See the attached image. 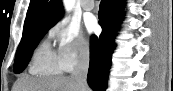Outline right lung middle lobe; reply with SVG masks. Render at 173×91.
<instances>
[{
    "label": "right lung middle lobe",
    "mask_w": 173,
    "mask_h": 91,
    "mask_svg": "<svg viewBox=\"0 0 173 91\" xmlns=\"http://www.w3.org/2000/svg\"><path fill=\"white\" fill-rule=\"evenodd\" d=\"M51 27L52 26L44 24L29 31L23 32L22 40L19 44L16 59L14 61L15 73L18 74L25 69L34 49L36 48L42 37L45 35V33L48 31V29H50Z\"/></svg>",
    "instance_id": "right-lung-middle-lobe-1"
}]
</instances>
